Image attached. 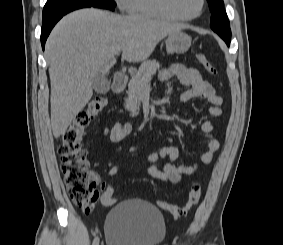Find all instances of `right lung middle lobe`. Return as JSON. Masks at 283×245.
Returning a JSON list of instances; mask_svg holds the SVG:
<instances>
[{
  "mask_svg": "<svg viewBox=\"0 0 283 245\" xmlns=\"http://www.w3.org/2000/svg\"><path fill=\"white\" fill-rule=\"evenodd\" d=\"M89 5H105L115 7L116 3L113 0H47L43 9V18L73 8Z\"/></svg>",
  "mask_w": 283,
  "mask_h": 245,
  "instance_id": "obj_1",
  "label": "right lung middle lobe"
}]
</instances>
